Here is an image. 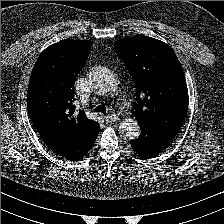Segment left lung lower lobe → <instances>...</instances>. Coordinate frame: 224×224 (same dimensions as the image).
I'll return each instance as SVG.
<instances>
[{"mask_svg": "<svg viewBox=\"0 0 224 224\" xmlns=\"http://www.w3.org/2000/svg\"><path fill=\"white\" fill-rule=\"evenodd\" d=\"M171 141V138H167L152 130L141 128L139 138L131 141V146L143 158H149L161 152Z\"/></svg>", "mask_w": 224, "mask_h": 224, "instance_id": "left-lung-lower-lobe-1", "label": "left lung lower lobe"}]
</instances>
